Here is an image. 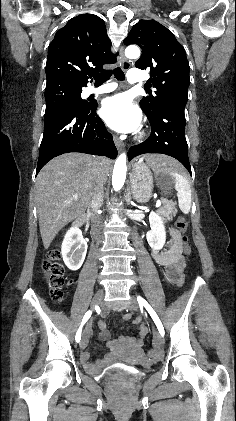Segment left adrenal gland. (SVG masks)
I'll return each mask as SVG.
<instances>
[{
	"label": "left adrenal gland",
	"mask_w": 236,
	"mask_h": 421,
	"mask_svg": "<svg viewBox=\"0 0 236 421\" xmlns=\"http://www.w3.org/2000/svg\"><path fill=\"white\" fill-rule=\"evenodd\" d=\"M131 192H132V190H131L130 186H128L126 196H125V200H126L127 204H130Z\"/></svg>",
	"instance_id": "left-adrenal-gland-1"
}]
</instances>
